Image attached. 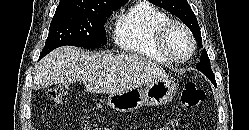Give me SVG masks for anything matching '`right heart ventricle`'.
<instances>
[{"mask_svg": "<svg viewBox=\"0 0 249 130\" xmlns=\"http://www.w3.org/2000/svg\"><path fill=\"white\" fill-rule=\"evenodd\" d=\"M168 20L163 10L146 0H138L118 16L113 40L125 53L169 63L157 45L158 30Z\"/></svg>", "mask_w": 249, "mask_h": 130, "instance_id": "1", "label": "right heart ventricle"}]
</instances>
